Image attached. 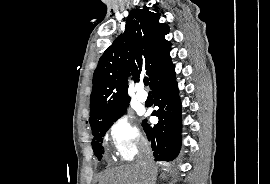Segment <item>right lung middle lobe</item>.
I'll return each mask as SVG.
<instances>
[{"mask_svg":"<svg viewBox=\"0 0 270 184\" xmlns=\"http://www.w3.org/2000/svg\"><path fill=\"white\" fill-rule=\"evenodd\" d=\"M126 108L127 106L122 108L118 113H116L113 117L107 120L99 121L91 125L93 134L92 147L94 154L98 158V160H101L102 153L104 152L102 142L106 131L111 127L113 122H115L118 118L125 114Z\"/></svg>","mask_w":270,"mask_h":184,"instance_id":"1","label":"right lung middle lobe"}]
</instances>
